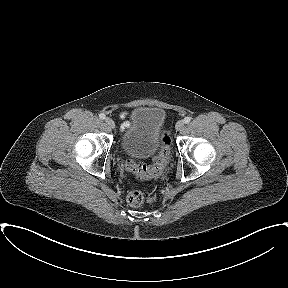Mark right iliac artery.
Segmentation results:
<instances>
[{"label":"right iliac artery","mask_w":288,"mask_h":288,"mask_svg":"<svg viewBox=\"0 0 288 288\" xmlns=\"http://www.w3.org/2000/svg\"><path fill=\"white\" fill-rule=\"evenodd\" d=\"M99 118L104 120L106 118V116L103 113H101V114H99Z\"/></svg>","instance_id":"82829eb1"}]
</instances>
